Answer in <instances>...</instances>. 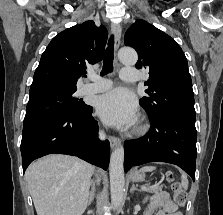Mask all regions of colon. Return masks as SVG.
I'll use <instances>...</instances> for the list:
<instances>
[{"instance_id":"5ec220e1","label":"colon","mask_w":223,"mask_h":215,"mask_svg":"<svg viewBox=\"0 0 223 215\" xmlns=\"http://www.w3.org/2000/svg\"><path fill=\"white\" fill-rule=\"evenodd\" d=\"M167 179L172 182L175 203L177 204V206L182 207L187 201V193L182 188L181 184L178 181H175L172 172L167 173Z\"/></svg>"}]
</instances>
